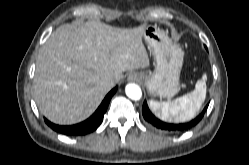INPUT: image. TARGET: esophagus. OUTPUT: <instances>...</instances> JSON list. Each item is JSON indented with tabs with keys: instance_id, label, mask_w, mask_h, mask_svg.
Wrapping results in <instances>:
<instances>
[{
	"instance_id": "obj_1",
	"label": "esophagus",
	"mask_w": 249,
	"mask_h": 165,
	"mask_svg": "<svg viewBox=\"0 0 249 165\" xmlns=\"http://www.w3.org/2000/svg\"><path fill=\"white\" fill-rule=\"evenodd\" d=\"M139 79L138 75L135 74V73H131L129 76H128V80L130 81H137Z\"/></svg>"
}]
</instances>
